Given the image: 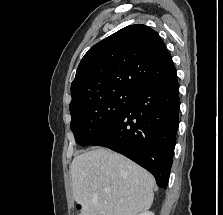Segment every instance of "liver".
I'll return each instance as SVG.
<instances>
[{
    "label": "liver",
    "mask_w": 223,
    "mask_h": 215,
    "mask_svg": "<svg viewBox=\"0 0 223 215\" xmlns=\"http://www.w3.org/2000/svg\"><path fill=\"white\" fill-rule=\"evenodd\" d=\"M71 175L74 199L82 205L79 215H137L152 205L153 175L110 149L92 147L76 155Z\"/></svg>",
    "instance_id": "6515ba94"
}]
</instances>
